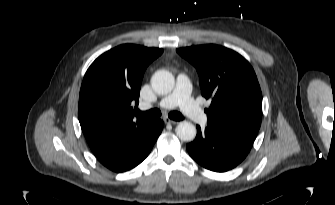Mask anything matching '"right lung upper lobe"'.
<instances>
[{
  "instance_id": "cb5924a9",
  "label": "right lung upper lobe",
  "mask_w": 335,
  "mask_h": 205,
  "mask_svg": "<svg viewBox=\"0 0 335 205\" xmlns=\"http://www.w3.org/2000/svg\"><path fill=\"white\" fill-rule=\"evenodd\" d=\"M162 52L124 44L102 54L88 68L78 117L96 157L128 151L156 131L158 119L144 117L136 106L145 69Z\"/></svg>"
}]
</instances>
